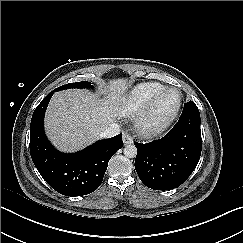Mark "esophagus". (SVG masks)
I'll return each mask as SVG.
<instances>
[{"label":"esophagus","mask_w":243,"mask_h":243,"mask_svg":"<svg viewBox=\"0 0 243 243\" xmlns=\"http://www.w3.org/2000/svg\"><path fill=\"white\" fill-rule=\"evenodd\" d=\"M122 140H123L124 145H128V144L133 143V138H132V136H131L130 134H128V133H124V134H123V138H122Z\"/></svg>","instance_id":"1"}]
</instances>
